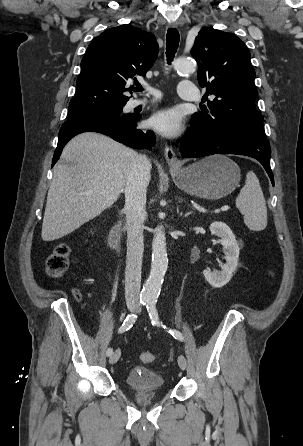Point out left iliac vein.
<instances>
[{
    "label": "left iliac vein",
    "mask_w": 303,
    "mask_h": 446,
    "mask_svg": "<svg viewBox=\"0 0 303 446\" xmlns=\"http://www.w3.org/2000/svg\"><path fill=\"white\" fill-rule=\"evenodd\" d=\"M178 365L182 370L186 369L187 360H186L185 356H183V355L178 356Z\"/></svg>",
    "instance_id": "obj_1"
}]
</instances>
